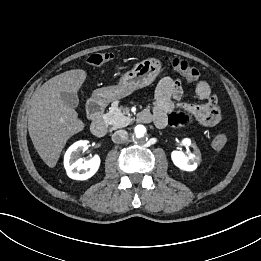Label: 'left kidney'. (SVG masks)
I'll use <instances>...</instances> for the list:
<instances>
[{
    "label": "left kidney",
    "mask_w": 261,
    "mask_h": 261,
    "mask_svg": "<svg viewBox=\"0 0 261 261\" xmlns=\"http://www.w3.org/2000/svg\"><path fill=\"white\" fill-rule=\"evenodd\" d=\"M183 142L186 145L188 146L191 145L193 147L194 149L193 153H190L189 156H186L183 152L174 150L171 153V159L174 165L180 168L181 170L194 171L201 160L200 150L197 148L196 145L191 143L190 139H184Z\"/></svg>",
    "instance_id": "5707ae66"
}]
</instances>
